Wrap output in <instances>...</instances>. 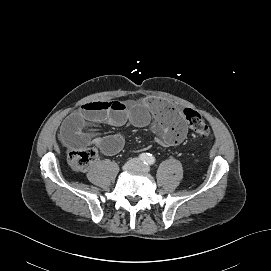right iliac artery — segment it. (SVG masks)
<instances>
[{
    "mask_svg": "<svg viewBox=\"0 0 271 271\" xmlns=\"http://www.w3.org/2000/svg\"><path fill=\"white\" fill-rule=\"evenodd\" d=\"M149 154L148 153H142L139 155V159L143 162V163H147Z\"/></svg>",
    "mask_w": 271,
    "mask_h": 271,
    "instance_id": "right-iliac-artery-1",
    "label": "right iliac artery"
}]
</instances>
